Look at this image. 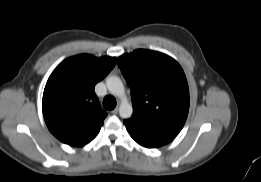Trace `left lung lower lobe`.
Wrapping results in <instances>:
<instances>
[{
  "instance_id": "1",
  "label": "left lung lower lobe",
  "mask_w": 261,
  "mask_h": 182,
  "mask_svg": "<svg viewBox=\"0 0 261 182\" xmlns=\"http://www.w3.org/2000/svg\"><path fill=\"white\" fill-rule=\"evenodd\" d=\"M137 143H139L140 145L147 147V148H154V147H159L162 146L161 144L155 143V142H150V141H144V140H140L137 138H133Z\"/></svg>"
}]
</instances>
